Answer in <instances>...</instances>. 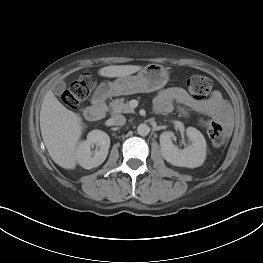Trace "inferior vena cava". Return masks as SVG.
Here are the masks:
<instances>
[{"mask_svg": "<svg viewBox=\"0 0 263 263\" xmlns=\"http://www.w3.org/2000/svg\"><path fill=\"white\" fill-rule=\"evenodd\" d=\"M111 122L115 126H123L126 123V118L121 114H116L111 117Z\"/></svg>", "mask_w": 263, "mask_h": 263, "instance_id": "inferior-vena-cava-1", "label": "inferior vena cava"}]
</instances>
